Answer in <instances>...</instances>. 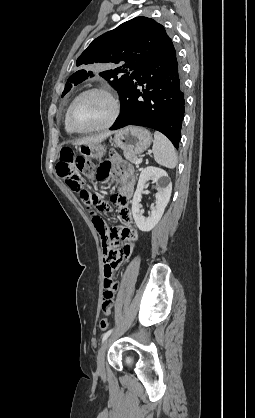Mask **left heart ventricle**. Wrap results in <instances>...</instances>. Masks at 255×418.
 Wrapping results in <instances>:
<instances>
[{
  "label": "left heart ventricle",
  "mask_w": 255,
  "mask_h": 418,
  "mask_svg": "<svg viewBox=\"0 0 255 418\" xmlns=\"http://www.w3.org/2000/svg\"><path fill=\"white\" fill-rule=\"evenodd\" d=\"M112 105L103 94L91 93L82 97L72 112V123L80 129L105 123L111 115Z\"/></svg>",
  "instance_id": "b2bd125f"
}]
</instances>
